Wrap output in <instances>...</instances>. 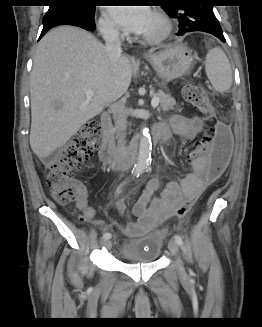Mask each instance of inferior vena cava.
<instances>
[{
	"label": "inferior vena cava",
	"instance_id": "1",
	"mask_svg": "<svg viewBox=\"0 0 262 327\" xmlns=\"http://www.w3.org/2000/svg\"><path fill=\"white\" fill-rule=\"evenodd\" d=\"M103 38L106 43V51L108 53L109 59L112 63L116 62L122 55L121 41L119 38V32L109 26H103L102 29ZM115 120L119 126H122L125 121V112L124 109L118 108L114 113ZM119 145V154L120 156L124 155V137L120 135L118 141Z\"/></svg>",
	"mask_w": 262,
	"mask_h": 327
}]
</instances>
